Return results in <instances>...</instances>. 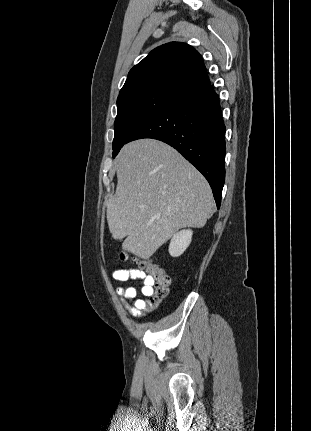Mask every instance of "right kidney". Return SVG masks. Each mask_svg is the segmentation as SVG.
Returning a JSON list of instances; mask_svg holds the SVG:
<instances>
[{
  "label": "right kidney",
  "instance_id": "right-kidney-1",
  "mask_svg": "<svg viewBox=\"0 0 311 431\" xmlns=\"http://www.w3.org/2000/svg\"><path fill=\"white\" fill-rule=\"evenodd\" d=\"M191 237L192 229H181V231L174 233L169 245L170 255H173V257L181 255V253L185 251L186 247H188Z\"/></svg>",
  "mask_w": 311,
  "mask_h": 431
}]
</instances>
